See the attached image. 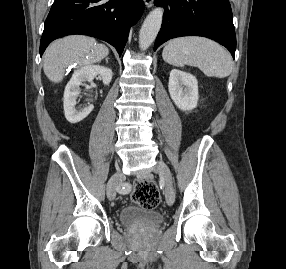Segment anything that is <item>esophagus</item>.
Segmentation results:
<instances>
[{"mask_svg":"<svg viewBox=\"0 0 286 269\" xmlns=\"http://www.w3.org/2000/svg\"><path fill=\"white\" fill-rule=\"evenodd\" d=\"M154 0H144L145 5L150 8L153 5Z\"/></svg>","mask_w":286,"mask_h":269,"instance_id":"obj_1","label":"esophagus"}]
</instances>
